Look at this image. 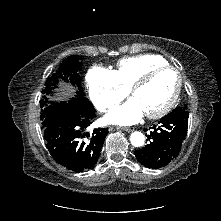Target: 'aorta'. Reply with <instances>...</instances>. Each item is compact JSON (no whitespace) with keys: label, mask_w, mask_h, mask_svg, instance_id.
Instances as JSON below:
<instances>
[{"label":"aorta","mask_w":221,"mask_h":221,"mask_svg":"<svg viewBox=\"0 0 221 221\" xmlns=\"http://www.w3.org/2000/svg\"><path fill=\"white\" fill-rule=\"evenodd\" d=\"M145 141V137L143 133L139 131H135L130 136V142L134 147H141L143 146Z\"/></svg>","instance_id":"aorta-1"}]
</instances>
